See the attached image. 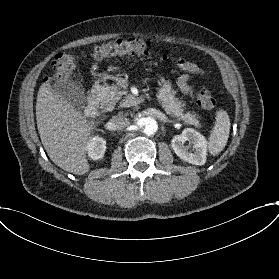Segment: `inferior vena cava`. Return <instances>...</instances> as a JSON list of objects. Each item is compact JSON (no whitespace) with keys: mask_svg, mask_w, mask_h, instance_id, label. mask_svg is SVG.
<instances>
[{"mask_svg":"<svg viewBox=\"0 0 279 279\" xmlns=\"http://www.w3.org/2000/svg\"><path fill=\"white\" fill-rule=\"evenodd\" d=\"M129 125V120L121 115L113 116L108 122L110 130H123Z\"/></svg>","mask_w":279,"mask_h":279,"instance_id":"obj_1","label":"inferior vena cava"}]
</instances>
